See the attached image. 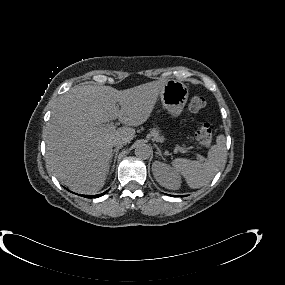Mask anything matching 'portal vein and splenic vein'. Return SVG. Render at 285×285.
<instances>
[{"label":"portal vein and splenic vein","mask_w":285,"mask_h":285,"mask_svg":"<svg viewBox=\"0 0 285 285\" xmlns=\"http://www.w3.org/2000/svg\"><path fill=\"white\" fill-rule=\"evenodd\" d=\"M96 129H98V130H106V129L115 130L116 126L114 124H111L109 126H100V127H97ZM175 151H179L181 153H185L184 149H181V148H178V147H175Z\"/></svg>","instance_id":"18ae733b"}]
</instances>
